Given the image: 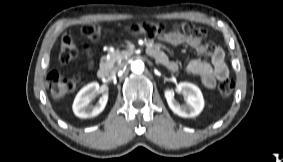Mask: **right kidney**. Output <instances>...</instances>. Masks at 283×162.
Returning a JSON list of instances; mask_svg holds the SVG:
<instances>
[{
	"instance_id": "ca27d5eb",
	"label": "right kidney",
	"mask_w": 283,
	"mask_h": 162,
	"mask_svg": "<svg viewBox=\"0 0 283 162\" xmlns=\"http://www.w3.org/2000/svg\"><path fill=\"white\" fill-rule=\"evenodd\" d=\"M99 84L92 82L83 87L75 97L73 111L77 117L90 118L99 115L108 101V94L104 93L96 105H91V98L99 91Z\"/></svg>"
}]
</instances>
